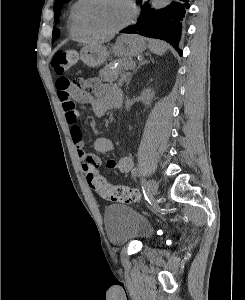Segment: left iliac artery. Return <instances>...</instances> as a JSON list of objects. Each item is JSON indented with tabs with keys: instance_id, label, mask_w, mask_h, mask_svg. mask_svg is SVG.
<instances>
[{
	"instance_id": "obj_1",
	"label": "left iliac artery",
	"mask_w": 245,
	"mask_h": 300,
	"mask_svg": "<svg viewBox=\"0 0 245 300\" xmlns=\"http://www.w3.org/2000/svg\"><path fill=\"white\" fill-rule=\"evenodd\" d=\"M139 173V170L138 169H134V171H133V174H138Z\"/></svg>"
}]
</instances>
